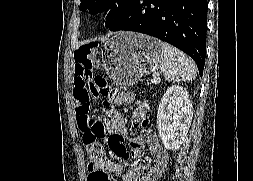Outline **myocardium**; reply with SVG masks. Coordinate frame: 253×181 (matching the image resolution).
<instances>
[{"instance_id":"f54148a6","label":"myocardium","mask_w":253,"mask_h":181,"mask_svg":"<svg viewBox=\"0 0 253 181\" xmlns=\"http://www.w3.org/2000/svg\"><path fill=\"white\" fill-rule=\"evenodd\" d=\"M108 12V7L104 4L96 5L91 11V21L94 24H100Z\"/></svg>"}]
</instances>
